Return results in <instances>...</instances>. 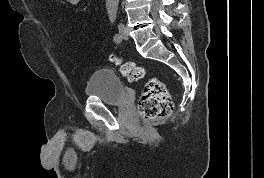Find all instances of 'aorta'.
I'll list each match as a JSON object with an SVG mask.
<instances>
[{
	"label": "aorta",
	"instance_id": "aorta-1",
	"mask_svg": "<svg viewBox=\"0 0 264 178\" xmlns=\"http://www.w3.org/2000/svg\"><path fill=\"white\" fill-rule=\"evenodd\" d=\"M119 0H106L108 12H116L118 9Z\"/></svg>",
	"mask_w": 264,
	"mask_h": 178
}]
</instances>
